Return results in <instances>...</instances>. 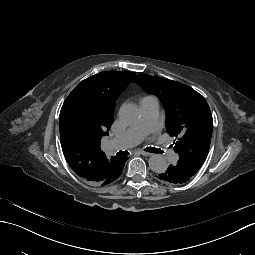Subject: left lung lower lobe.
Instances as JSON below:
<instances>
[{
  "label": "left lung lower lobe",
  "instance_id": "left-lung-lower-lobe-1",
  "mask_svg": "<svg viewBox=\"0 0 255 255\" xmlns=\"http://www.w3.org/2000/svg\"><path fill=\"white\" fill-rule=\"evenodd\" d=\"M157 178L162 182L168 181L169 183L182 185L191 179L185 172H181L175 165H168L165 170L161 171Z\"/></svg>",
  "mask_w": 255,
  "mask_h": 255
}]
</instances>
